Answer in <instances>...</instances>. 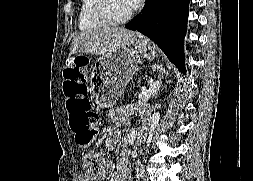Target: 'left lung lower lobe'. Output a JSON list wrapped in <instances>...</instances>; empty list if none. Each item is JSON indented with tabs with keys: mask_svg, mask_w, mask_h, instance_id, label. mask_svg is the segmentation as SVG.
<instances>
[{
	"mask_svg": "<svg viewBox=\"0 0 253 181\" xmlns=\"http://www.w3.org/2000/svg\"><path fill=\"white\" fill-rule=\"evenodd\" d=\"M188 5L189 0H146L142 11L125 25L154 41L183 73Z\"/></svg>",
	"mask_w": 253,
	"mask_h": 181,
	"instance_id": "obj_1",
	"label": "left lung lower lobe"
}]
</instances>
